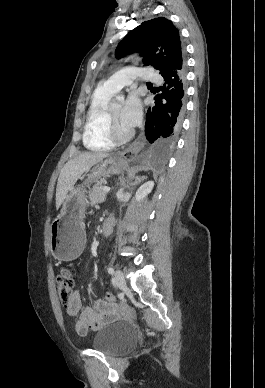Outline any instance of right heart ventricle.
Wrapping results in <instances>:
<instances>
[{"mask_svg": "<svg viewBox=\"0 0 265 388\" xmlns=\"http://www.w3.org/2000/svg\"><path fill=\"white\" fill-rule=\"evenodd\" d=\"M113 97V91H94V98L87 113L84 128L85 145L92 150L104 151L114 146V142L107 136L104 129L107 103Z\"/></svg>", "mask_w": 265, "mask_h": 388, "instance_id": "right-heart-ventricle-1", "label": "right heart ventricle"}]
</instances>
